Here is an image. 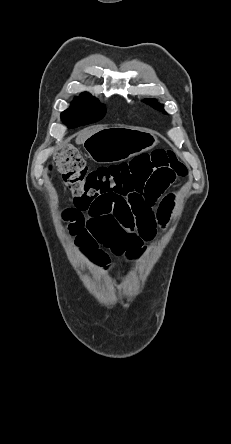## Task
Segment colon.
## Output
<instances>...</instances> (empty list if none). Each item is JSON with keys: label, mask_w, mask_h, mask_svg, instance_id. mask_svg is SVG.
<instances>
[{"label": "colon", "mask_w": 231, "mask_h": 444, "mask_svg": "<svg viewBox=\"0 0 231 444\" xmlns=\"http://www.w3.org/2000/svg\"><path fill=\"white\" fill-rule=\"evenodd\" d=\"M75 200L120 198L132 209L147 199L155 186L167 187L187 174L186 166L169 150L142 154L128 163L89 170L81 154L65 147L54 159Z\"/></svg>", "instance_id": "1"}]
</instances>
